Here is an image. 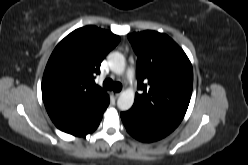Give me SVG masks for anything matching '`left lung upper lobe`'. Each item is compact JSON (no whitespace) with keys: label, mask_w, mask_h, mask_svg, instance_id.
Instances as JSON below:
<instances>
[{"label":"left lung upper lobe","mask_w":248,"mask_h":165,"mask_svg":"<svg viewBox=\"0 0 248 165\" xmlns=\"http://www.w3.org/2000/svg\"><path fill=\"white\" fill-rule=\"evenodd\" d=\"M137 54L138 89L131 109L178 126L192 94L193 70L185 52L166 34H128Z\"/></svg>","instance_id":"1"}]
</instances>
